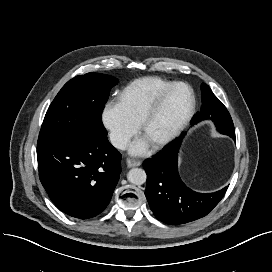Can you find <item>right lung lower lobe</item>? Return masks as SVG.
<instances>
[{
  "instance_id": "1",
  "label": "right lung lower lobe",
  "mask_w": 272,
  "mask_h": 272,
  "mask_svg": "<svg viewBox=\"0 0 272 272\" xmlns=\"http://www.w3.org/2000/svg\"><path fill=\"white\" fill-rule=\"evenodd\" d=\"M37 158L41 183L61 211L88 219L107 207L121 172L107 136L39 139Z\"/></svg>"
}]
</instances>
